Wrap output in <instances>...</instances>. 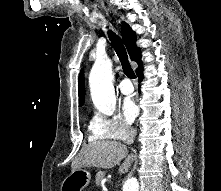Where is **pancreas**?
<instances>
[{
  "instance_id": "cf45deb5",
  "label": "pancreas",
  "mask_w": 221,
  "mask_h": 191,
  "mask_svg": "<svg viewBox=\"0 0 221 191\" xmlns=\"http://www.w3.org/2000/svg\"><path fill=\"white\" fill-rule=\"evenodd\" d=\"M105 178V172H98L95 177V183L97 186L101 185V181Z\"/></svg>"
}]
</instances>
